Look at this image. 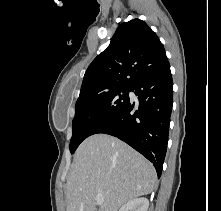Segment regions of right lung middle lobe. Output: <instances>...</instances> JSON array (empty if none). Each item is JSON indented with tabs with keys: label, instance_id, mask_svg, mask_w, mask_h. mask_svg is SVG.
I'll use <instances>...</instances> for the list:
<instances>
[{
	"label": "right lung middle lobe",
	"instance_id": "obj_1",
	"mask_svg": "<svg viewBox=\"0 0 221 211\" xmlns=\"http://www.w3.org/2000/svg\"><path fill=\"white\" fill-rule=\"evenodd\" d=\"M130 88L115 89L92 97L79 98L72 123L70 152L87 137L96 134L128 103Z\"/></svg>",
	"mask_w": 221,
	"mask_h": 211
}]
</instances>
